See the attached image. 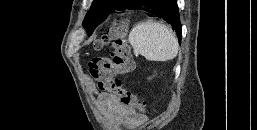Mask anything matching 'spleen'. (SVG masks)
I'll return each instance as SVG.
<instances>
[{
  "label": "spleen",
  "instance_id": "obj_1",
  "mask_svg": "<svg viewBox=\"0 0 257 130\" xmlns=\"http://www.w3.org/2000/svg\"><path fill=\"white\" fill-rule=\"evenodd\" d=\"M135 55H143L148 61L166 62L178 54V41L166 25L146 21L136 24L128 38Z\"/></svg>",
  "mask_w": 257,
  "mask_h": 130
}]
</instances>
